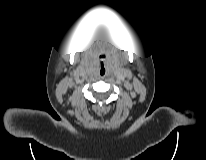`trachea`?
<instances>
[{
    "mask_svg": "<svg viewBox=\"0 0 206 160\" xmlns=\"http://www.w3.org/2000/svg\"><path fill=\"white\" fill-rule=\"evenodd\" d=\"M105 73V70L104 69H102L101 70V75H103Z\"/></svg>",
    "mask_w": 206,
    "mask_h": 160,
    "instance_id": "3493384b",
    "label": "trachea"
}]
</instances>
